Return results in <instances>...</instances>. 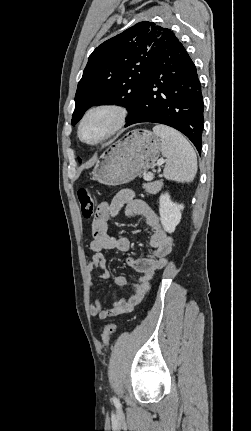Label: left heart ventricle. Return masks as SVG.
I'll use <instances>...</instances> for the list:
<instances>
[{"label":"left heart ventricle","mask_w":251,"mask_h":431,"mask_svg":"<svg viewBox=\"0 0 251 431\" xmlns=\"http://www.w3.org/2000/svg\"><path fill=\"white\" fill-rule=\"evenodd\" d=\"M113 115L107 111H100L90 115L82 128V136L86 141L93 142L101 138L109 129Z\"/></svg>","instance_id":"obj_1"}]
</instances>
